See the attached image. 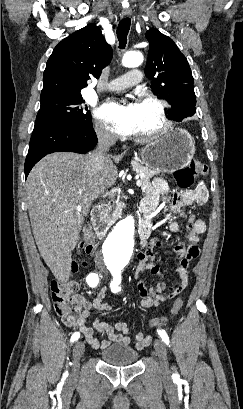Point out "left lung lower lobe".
<instances>
[{
    "label": "left lung lower lobe",
    "mask_w": 243,
    "mask_h": 409,
    "mask_svg": "<svg viewBox=\"0 0 243 409\" xmlns=\"http://www.w3.org/2000/svg\"><path fill=\"white\" fill-rule=\"evenodd\" d=\"M194 113L195 112H190V113H187V114H179L176 117H174L173 120L180 122L182 119L194 115Z\"/></svg>",
    "instance_id": "0a47b994"
}]
</instances>
